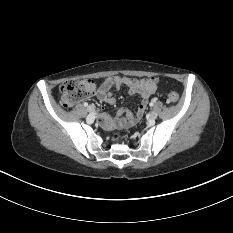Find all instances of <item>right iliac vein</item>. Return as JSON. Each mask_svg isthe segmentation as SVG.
Instances as JSON below:
<instances>
[{
  "label": "right iliac vein",
  "instance_id": "63e3f726",
  "mask_svg": "<svg viewBox=\"0 0 233 233\" xmlns=\"http://www.w3.org/2000/svg\"><path fill=\"white\" fill-rule=\"evenodd\" d=\"M87 111L90 112V113H93L95 111V107L93 105H89L87 107Z\"/></svg>",
  "mask_w": 233,
  "mask_h": 233
}]
</instances>
